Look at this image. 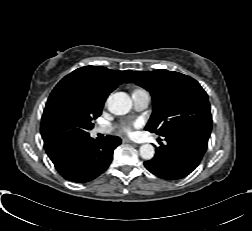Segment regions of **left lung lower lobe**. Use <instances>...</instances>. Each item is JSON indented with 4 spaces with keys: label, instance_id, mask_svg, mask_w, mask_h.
I'll list each match as a JSON object with an SVG mask.
<instances>
[{
    "label": "left lung lower lobe",
    "instance_id": "0a47b994",
    "mask_svg": "<svg viewBox=\"0 0 252 231\" xmlns=\"http://www.w3.org/2000/svg\"><path fill=\"white\" fill-rule=\"evenodd\" d=\"M210 133L211 129L196 125L170 131L164 136L167 145L161 144L154 158L144 162L145 167L167 180L186 177L201 161Z\"/></svg>",
    "mask_w": 252,
    "mask_h": 231
}]
</instances>
